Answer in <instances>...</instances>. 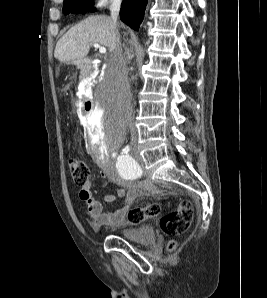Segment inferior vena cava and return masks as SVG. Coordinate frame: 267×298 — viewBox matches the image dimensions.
I'll return each mask as SVG.
<instances>
[{"mask_svg":"<svg viewBox=\"0 0 267 298\" xmlns=\"http://www.w3.org/2000/svg\"><path fill=\"white\" fill-rule=\"evenodd\" d=\"M121 2L122 0L111 1L110 12L115 29L117 28ZM108 71L113 74L116 81V110L120 117L130 126L131 131L134 132L132 93L128 79L127 59L122 53L119 38L108 61Z\"/></svg>","mask_w":267,"mask_h":298,"instance_id":"obj_1","label":"inferior vena cava"}]
</instances>
